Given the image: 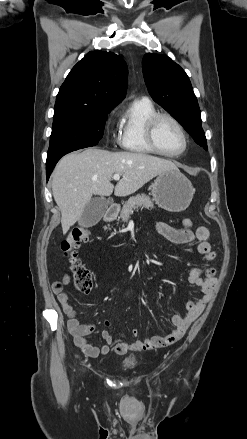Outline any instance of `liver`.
Listing matches in <instances>:
<instances>
[{"label": "liver", "instance_id": "obj_1", "mask_svg": "<svg viewBox=\"0 0 247 439\" xmlns=\"http://www.w3.org/2000/svg\"><path fill=\"white\" fill-rule=\"evenodd\" d=\"M178 169L169 160L144 153L116 152L88 148L64 156L52 176V194L61 211L66 234L81 217L93 195L128 196L160 173ZM114 174L122 179L111 183Z\"/></svg>", "mask_w": 247, "mask_h": 439}]
</instances>
